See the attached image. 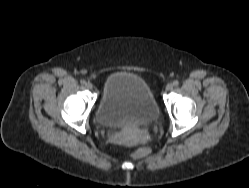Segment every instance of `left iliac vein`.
I'll use <instances>...</instances> for the list:
<instances>
[{"label":"left iliac vein","instance_id":"obj_1","mask_svg":"<svg viewBox=\"0 0 249 188\" xmlns=\"http://www.w3.org/2000/svg\"><path fill=\"white\" fill-rule=\"evenodd\" d=\"M173 89V84L172 83H168L165 87L166 91H171Z\"/></svg>","mask_w":249,"mask_h":188}]
</instances>
